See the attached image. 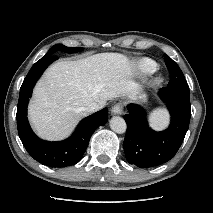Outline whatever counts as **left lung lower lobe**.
<instances>
[{
	"label": "left lung lower lobe",
	"instance_id": "1",
	"mask_svg": "<svg viewBox=\"0 0 213 213\" xmlns=\"http://www.w3.org/2000/svg\"><path fill=\"white\" fill-rule=\"evenodd\" d=\"M159 96L171 113V124L162 132L152 130L144 109L137 104L127 106L124 116L127 132L123 143L125 157L138 167L161 165L175 156L189 127L190 94L170 87L162 88Z\"/></svg>",
	"mask_w": 213,
	"mask_h": 213
}]
</instances>
